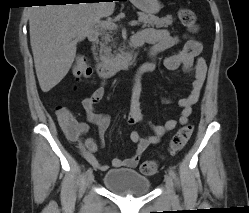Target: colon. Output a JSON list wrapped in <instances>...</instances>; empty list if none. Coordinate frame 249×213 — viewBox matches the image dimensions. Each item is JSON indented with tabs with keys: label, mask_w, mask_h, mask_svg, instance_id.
<instances>
[{
	"label": "colon",
	"mask_w": 249,
	"mask_h": 213,
	"mask_svg": "<svg viewBox=\"0 0 249 213\" xmlns=\"http://www.w3.org/2000/svg\"><path fill=\"white\" fill-rule=\"evenodd\" d=\"M181 23L191 31L197 30V20L193 11L188 8H181L178 12ZM92 74L91 67L84 56H78L76 58L73 75L77 78H88ZM62 106L57 107L56 114L59 113L62 117L66 114L62 111ZM193 132V126L190 124L181 127L172 137L170 149L175 153L181 150L190 139ZM141 172L145 175H153L158 169V164L154 160H147L141 164Z\"/></svg>",
	"instance_id": "5ec220e1"
}]
</instances>
